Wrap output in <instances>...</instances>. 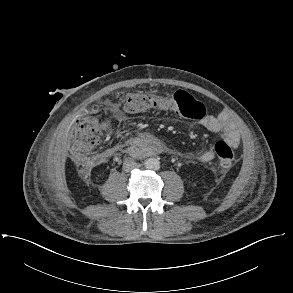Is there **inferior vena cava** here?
<instances>
[{
  "label": "inferior vena cava",
  "instance_id": "inferior-vena-cava-1",
  "mask_svg": "<svg viewBox=\"0 0 293 293\" xmlns=\"http://www.w3.org/2000/svg\"><path fill=\"white\" fill-rule=\"evenodd\" d=\"M139 167V164L134 162L133 160H125L123 163V170L125 172H130L131 170Z\"/></svg>",
  "mask_w": 293,
  "mask_h": 293
}]
</instances>
